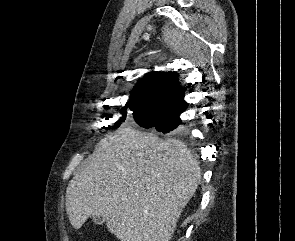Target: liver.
I'll use <instances>...</instances> for the list:
<instances>
[{
    "instance_id": "6515ba94",
    "label": "liver",
    "mask_w": 295,
    "mask_h": 241,
    "mask_svg": "<svg viewBox=\"0 0 295 241\" xmlns=\"http://www.w3.org/2000/svg\"><path fill=\"white\" fill-rule=\"evenodd\" d=\"M200 180L183 142L125 127L101 140L70 181L66 211L75 229L103 216L120 241H170Z\"/></svg>"
}]
</instances>
